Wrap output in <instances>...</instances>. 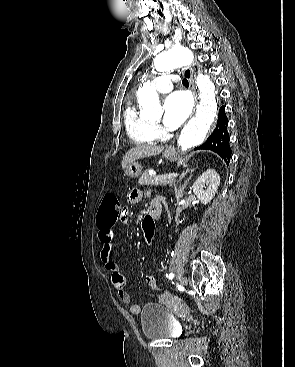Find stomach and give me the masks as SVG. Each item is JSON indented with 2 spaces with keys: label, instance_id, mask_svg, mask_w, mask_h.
Masks as SVG:
<instances>
[{
  "label": "stomach",
  "instance_id": "stomach-1",
  "mask_svg": "<svg viewBox=\"0 0 295 367\" xmlns=\"http://www.w3.org/2000/svg\"><path fill=\"white\" fill-rule=\"evenodd\" d=\"M164 157L170 161L177 159V155L175 152L166 151L164 153ZM124 172L130 178H137L142 172V167L138 162H132L126 166Z\"/></svg>",
  "mask_w": 295,
  "mask_h": 367
}]
</instances>
